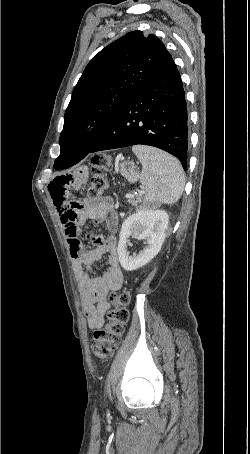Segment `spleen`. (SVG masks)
<instances>
[{
    "instance_id": "spleen-1",
    "label": "spleen",
    "mask_w": 250,
    "mask_h": 454,
    "mask_svg": "<svg viewBox=\"0 0 250 454\" xmlns=\"http://www.w3.org/2000/svg\"><path fill=\"white\" fill-rule=\"evenodd\" d=\"M132 151L142 163L140 182L145 187V202L153 206L177 202L185 186V175L180 162L149 146L135 145Z\"/></svg>"
}]
</instances>
